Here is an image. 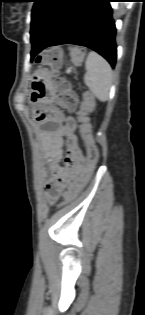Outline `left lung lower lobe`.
Listing matches in <instances>:
<instances>
[{
  "instance_id": "0a47b994",
  "label": "left lung lower lobe",
  "mask_w": 145,
  "mask_h": 315,
  "mask_svg": "<svg viewBox=\"0 0 145 315\" xmlns=\"http://www.w3.org/2000/svg\"><path fill=\"white\" fill-rule=\"evenodd\" d=\"M111 1L73 0L40 42L31 39V60L46 47L75 44L98 52L114 67L117 58L116 27Z\"/></svg>"
}]
</instances>
